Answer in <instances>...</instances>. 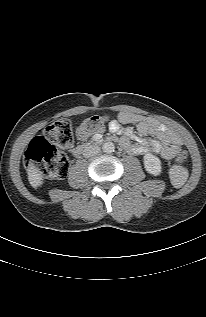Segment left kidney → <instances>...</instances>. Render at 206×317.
<instances>
[{"instance_id":"1","label":"left kidney","mask_w":206,"mask_h":317,"mask_svg":"<svg viewBox=\"0 0 206 317\" xmlns=\"http://www.w3.org/2000/svg\"><path fill=\"white\" fill-rule=\"evenodd\" d=\"M144 166L146 171L154 176L161 173V160L153 154H146L144 156Z\"/></svg>"}]
</instances>
